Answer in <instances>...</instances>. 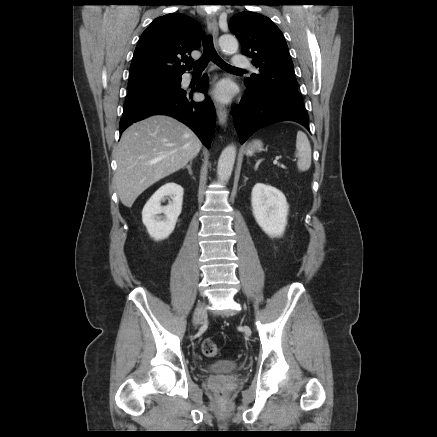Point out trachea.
<instances>
[{
  "mask_svg": "<svg viewBox=\"0 0 437 437\" xmlns=\"http://www.w3.org/2000/svg\"><path fill=\"white\" fill-rule=\"evenodd\" d=\"M203 46L204 50L201 58L193 64L194 71H203L210 60L223 69L242 71V69L235 68L221 59L213 46L212 37H207Z\"/></svg>",
  "mask_w": 437,
  "mask_h": 437,
  "instance_id": "obj_1",
  "label": "trachea"
}]
</instances>
